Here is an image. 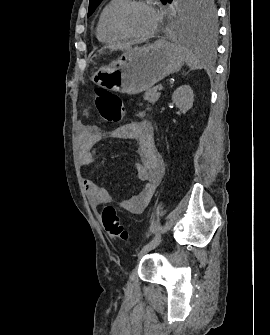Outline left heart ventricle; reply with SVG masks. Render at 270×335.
<instances>
[{
    "label": "left heart ventricle",
    "instance_id": "b2bd125f",
    "mask_svg": "<svg viewBox=\"0 0 270 335\" xmlns=\"http://www.w3.org/2000/svg\"><path fill=\"white\" fill-rule=\"evenodd\" d=\"M153 23L152 15L145 7H132L124 16L125 28L137 35L151 31Z\"/></svg>",
    "mask_w": 270,
    "mask_h": 335
}]
</instances>
